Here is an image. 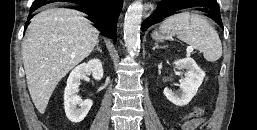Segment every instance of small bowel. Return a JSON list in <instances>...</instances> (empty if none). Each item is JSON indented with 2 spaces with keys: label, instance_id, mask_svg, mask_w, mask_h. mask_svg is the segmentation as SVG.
Segmentation results:
<instances>
[{
  "label": "small bowel",
  "instance_id": "1",
  "mask_svg": "<svg viewBox=\"0 0 257 130\" xmlns=\"http://www.w3.org/2000/svg\"><path fill=\"white\" fill-rule=\"evenodd\" d=\"M199 124V120H191L187 122L184 126V130H193Z\"/></svg>",
  "mask_w": 257,
  "mask_h": 130
}]
</instances>
